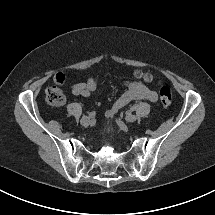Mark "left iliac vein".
Listing matches in <instances>:
<instances>
[{"label":"left iliac vein","mask_w":215,"mask_h":215,"mask_svg":"<svg viewBox=\"0 0 215 215\" xmlns=\"http://www.w3.org/2000/svg\"><path fill=\"white\" fill-rule=\"evenodd\" d=\"M125 120L127 122H135L137 120V116L131 113L126 114Z\"/></svg>","instance_id":"1"}]
</instances>
